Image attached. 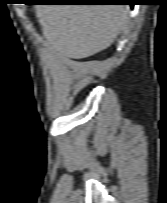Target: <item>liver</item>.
<instances>
[{
	"instance_id": "6515ba94",
	"label": "liver",
	"mask_w": 167,
	"mask_h": 203,
	"mask_svg": "<svg viewBox=\"0 0 167 203\" xmlns=\"http://www.w3.org/2000/svg\"><path fill=\"white\" fill-rule=\"evenodd\" d=\"M36 14L50 48L74 59L108 48L128 22L124 5H38Z\"/></svg>"
}]
</instances>
